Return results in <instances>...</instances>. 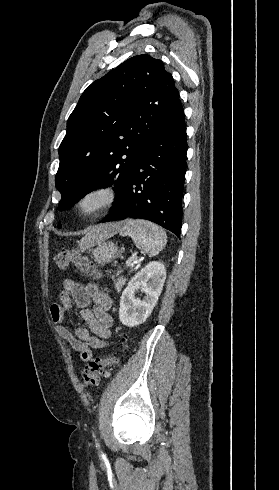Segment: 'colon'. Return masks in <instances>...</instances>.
<instances>
[{"mask_svg": "<svg viewBox=\"0 0 279 490\" xmlns=\"http://www.w3.org/2000/svg\"><path fill=\"white\" fill-rule=\"evenodd\" d=\"M54 263L60 269L72 266L87 277L98 278L101 275L93 260L75 248H68L57 253L54 257ZM119 357L120 352H117L105 358L90 360L82 371L83 385L85 387L97 385L99 378L105 375L110 367L119 362Z\"/></svg>", "mask_w": 279, "mask_h": 490, "instance_id": "1", "label": "colon"}]
</instances>
